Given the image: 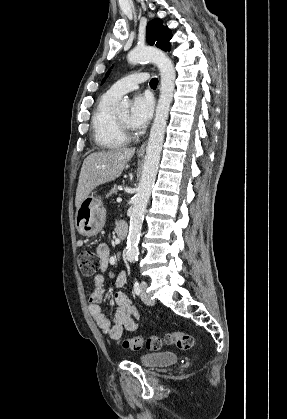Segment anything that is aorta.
<instances>
[{
	"instance_id": "aorta-1",
	"label": "aorta",
	"mask_w": 287,
	"mask_h": 419,
	"mask_svg": "<svg viewBox=\"0 0 287 419\" xmlns=\"http://www.w3.org/2000/svg\"><path fill=\"white\" fill-rule=\"evenodd\" d=\"M127 59L131 64H137L141 61L153 62L157 65L161 76L160 98L156 107L155 119L150 130L142 176L137 193L133 199V208L127 237L126 258L131 263H134L138 260V243L143 218L160 162L169 109L175 90L176 73L170 58L159 49L153 47H136L128 53ZM123 106H125V104H123Z\"/></svg>"
}]
</instances>
